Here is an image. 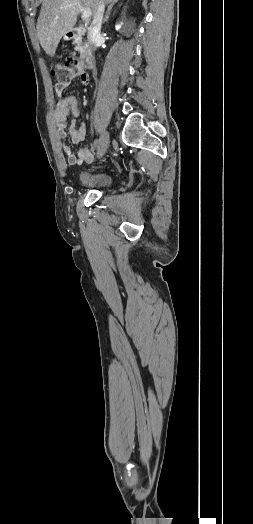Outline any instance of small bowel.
Returning a JSON list of instances; mask_svg holds the SVG:
<instances>
[{
	"label": "small bowel",
	"instance_id": "small-bowel-1",
	"mask_svg": "<svg viewBox=\"0 0 253 524\" xmlns=\"http://www.w3.org/2000/svg\"><path fill=\"white\" fill-rule=\"evenodd\" d=\"M59 96L53 109V118L57 127V136L60 141H63L66 135L69 134L71 141L78 144L85 140L86 125H76L75 119L80 115V107L76 97L72 95H63V90H57ZM72 117L73 120L68 124L67 120ZM64 151L67 155V161L70 165L80 166L84 163H92L94 156L90 153V148L87 145L81 146L76 154H73L68 147L64 146Z\"/></svg>",
	"mask_w": 253,
	"mask_h": 524
}]
</instances>
